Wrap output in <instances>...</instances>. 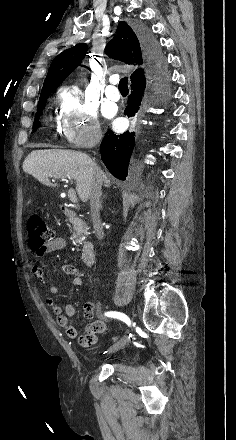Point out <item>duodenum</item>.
<instances>
[{
  "label": "duodenum",
  "instance_id": "duodenum-1",
  "mask_svg": "<svg viewBox=\"0 0 236 440\" xmlns=\"http://www.w3.org/2000/svg\"><path fill=\"white\" fill-rule=\"evenodd\" d=\"M63 215L69 219H77L78 214L69 206L62 204L60 206ZM95 251L91 241H85L81 251V261L85 266H92L94 263Z\"/></svg>",
  "mask_w": 236,
  "mask_h": 440
}]
</instances>
